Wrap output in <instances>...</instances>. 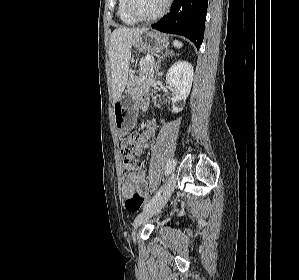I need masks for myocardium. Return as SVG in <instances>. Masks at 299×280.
<instances>
[{"label":"myocardium","mask_w":299,"mask_h":280,"mask_svg":"<svg viewBox=\"0 0 299 280\" xmlns=\"http://www.w3.org/2000/svg\"><path fill=\"white\" fill-rule=\"evenodd\" d=\"M170 1L171 0H165L162 8L156 14L149 17L141 16L136 12L134 7L135 0H127V11L129 15L137 22H151L159 19L165 14L169 7Z\"/></svg>","instance_id":"1"}]
</instances>
